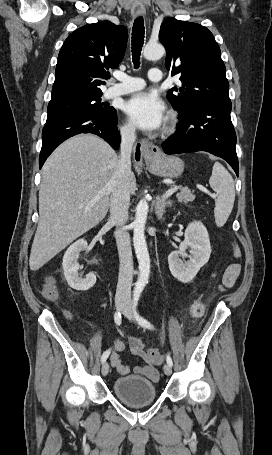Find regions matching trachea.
Returning a JSON list of instances; mask_svg holds the SVG:
<instances>
[{"label":"trachea","instance_id":"trachea-1","mask_svg":"<svg viewBox=\"0 0 272 455\" xmlns=\"http://www.w3.org/2000/svg\"><path fill=\"white\" fill-rule=\"evenodd\" d=\"M144 21L143 17H138L135 19L132 29V60L134 63V68H139L140 65V55L141 50L144 44Z\"/></svg>","mask_w":272,"mask_h":455}]
</instances>
